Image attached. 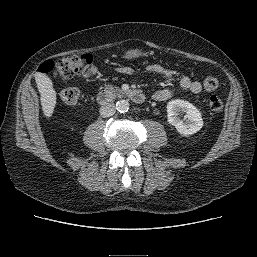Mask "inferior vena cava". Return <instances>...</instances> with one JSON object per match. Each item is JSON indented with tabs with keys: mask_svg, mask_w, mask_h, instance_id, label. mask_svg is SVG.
<instances>
[{
	"mask_svg": "<svg viewBox=\"0 0 257 257\" xmlns=\"http://www.w3.org/2000/svg\"><path fill=\"white\" fill-rule=\"evenodd\" d=\"M115 105L113 102H108L100 108V114L103 117H110L115 114Z\"/></svg>",
	"mask_w": 257,
	"mask_h": 257,
	"instance_id": "inferior-vena-cava-1",
	"label": "inferior vena cava"
}]
</instances>
